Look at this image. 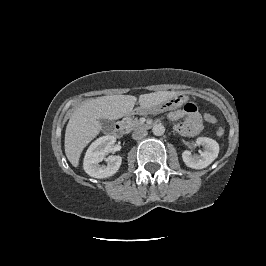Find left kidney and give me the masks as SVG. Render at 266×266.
Returning a JSON list of instances; mask_svg holds the SVG:
<instances>
[{"label": "left kidney", "instance_id": "obj_1", "mask_svg": "<svg viewBox=\"0 0 266 266\" xmlns=\"http://www.w3.org/2000/svg\"><path fill=\"white\" fill-rule=\"evenodd\" d=\"M198 145L204 147V151L198 156H193L190 151L186 150L182 153L184 163L193 169H203L209 166L219 154V144L207 137H199L196 140Z\"/></svg>", "mask_w": 266, "mask_h": 266}]
</instances>
